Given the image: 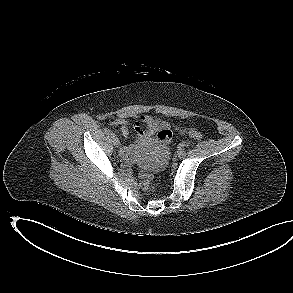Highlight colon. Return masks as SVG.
Returning a JSON list of instances; mask_svg holds the SVG:
<instances>
[{
  "mask_svg": "<svg viewBox=\"0 0 293 293\" xmlns=\"http://www.w3.org/2000/svg\"><path fill=\"white\" fill-rule=\"evenodd\" d=\"M189 135L192 138L197 139V140H200L203 138V134L195 129H191L189 131ZM172 137H173L172 131L168 128H164V129L159 130V132L157 134V138L162 145L170 144ZM141 177H142V180L140 183L141 189L147 193L152 192L154 190L155 186L151 180L150 175L148 173H143L141 175Z\"/></svg>",
  "mask_w": 293,
  "mask_h": 293,
  "instance_id": "obj_1",
  "label": "colon"
}]
</instances>
